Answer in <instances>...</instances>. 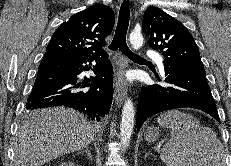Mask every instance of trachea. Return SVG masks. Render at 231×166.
<instances>
[{"label":"trachea","instance_id":"1","mask_svg":"<svg viewBox=\"0 0 231 166\" xmlns=\"http://www.w3.org/2000/svg\"><path fill=\"white\" fill-rule=\"evenodd\" d=\"M129 19H130L129 1L126 0L121 5L115 35L112 43L108 46V48L111 51H116L119 49L124 55H126L128 58L132 60L146 61L144 58L133 53L127 46L126 35L129 26Z\"/></svg>","mask_w":231,"mask_h":166}]
</instances>
